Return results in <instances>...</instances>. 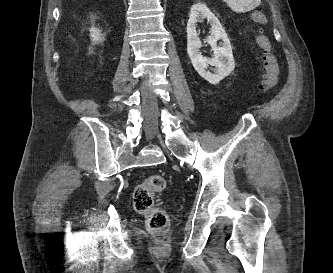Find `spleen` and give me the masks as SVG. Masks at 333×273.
Returning a JSON list of instances; mask_svg holds the SVG:
<instances>
[{"label":"spleen","mask_w":333,"mask_h":273,"mask_svg":"<svg viewBox=\"0 0 333 273\" xmlns=\"http://www.w3.org/2000/svg\"><path fill=\"white\" fill-rule=\"evenodd\" d=\"M236 13L249 12L261 3V0H223Z\"/></svg>","instance_id":"1"}]
</instances>
